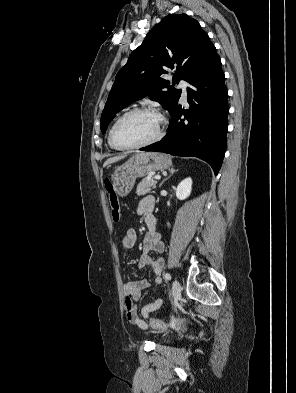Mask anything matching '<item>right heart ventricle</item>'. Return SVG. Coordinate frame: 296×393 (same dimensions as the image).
I'll return each instance as SVG.
<instances>
[{
    "label": "right heart ventricle",
    "instance_id": "e07e8e85",
    "mask_svg": "<svg viewBox=\"0 0 296 393\" xmlns=\"http://www.w3.org/2000/svg\"><path fill=\"white\" fill-rule=\"evenodd\" d=\"M108 144H109L110 148L115 149V148L111 145V143H110L109 134H108Z\"/></svg>",
    "mask_w": 296,
    "mask_h": 393
}]
</instances>
